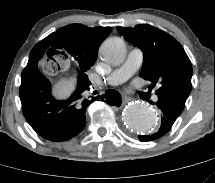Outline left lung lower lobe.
<instances>
[{
	"label": "left lung lower lobe",
	"mask_w": 215,
	"mask_h": 183,
	"mask_svg": "<svg viewBox=\"0 0 215 183\" xmlns=\"http://www.w3.org/2000/svg\"><path fill=\"white\" fill-rule=\"evenodd\" d=\"M151 104L157 105V107L161 110V127L159 131L153 135L139 136V140L143 142L155 140L166 134L171 129L173 123L182 112V110L174 102L164 97H158L157 102H151Z\"/></svg>",
	"instance_id": "0a47b994"
}]
</instances>
